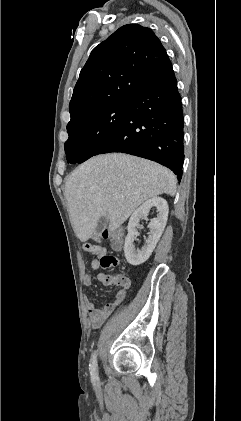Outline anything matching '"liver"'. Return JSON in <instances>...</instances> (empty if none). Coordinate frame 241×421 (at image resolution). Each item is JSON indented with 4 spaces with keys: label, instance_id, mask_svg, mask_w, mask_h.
Instances as JSON below:
<instances>
[{
    "label": "liver",
    "instance_id": "obj_1",
    "mask_svg": "<svg viewBox=\"0 0 241 421\" xmlns=\"http://www.w3.org/2000/svg\"><path fill=\"white\" fill-rule=\"evenodd\" d=\"M177 180L167 168L136 156L111 153L90 158L67 178L65 197L74 231L86 242L106 216L114 232L144 201L174 196ZM118 193V198L114 194Z\"/></svg>",
    "mask_w": 241,
    "mask_h": 421
}]
</instances>
